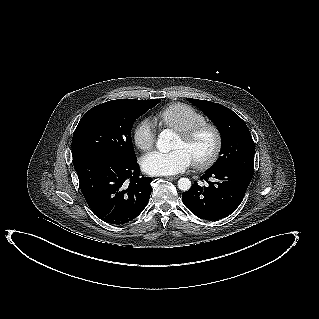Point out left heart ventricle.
I'll return each mask as SVG.
<instances>
[{
  "label": "left heart ventricle",
  "mask_w": 319,
  "mask_h": 319,
  "mask_svg": "<svg viewBox=\"0 0 319 319\" xmlns=\"http://www.w3.org/2000/svg\"><path fill=\"white\" fill-rule=\"evenodd\" d=\"M213 147V138L210 132H201L193 140L187 142L184 141L180 136H177L173 148H182L190 156L191 160L203 159L211 151Z\"/></svg>",
  "instance_id": "obj_1"
}]
</instances>
